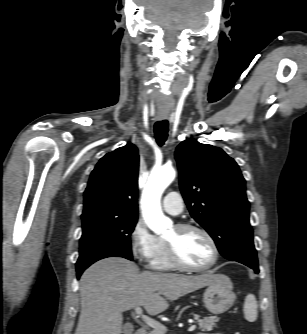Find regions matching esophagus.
<instances>
[{
	"label": "esophagus",
	"mask_w": 307,
	"mask_h": 334,
	"mask_svg": "<svg viewBox=\"0 0 307 334\" xmlns=\"http://www.w3.org/2000/svg\"><path fill=\"white\" fill-rule=\"evenodd\" d=\"M167 117H168V116L165 115V114H158V115H157V119H158V120H164V119H167Z\"/></svg>",
	"instance_id": "obj_1"
}]
</instances>
